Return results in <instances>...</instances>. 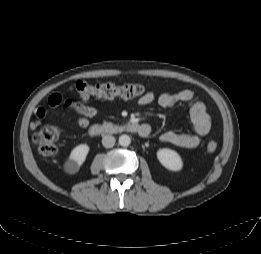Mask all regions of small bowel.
I'll return each mask as SVG.
<instances>
[{"mask_svg": "<svg viewBox=\"0 0 261 254\" xmlns=\"http://www.w3.org/2000/svg\"><path fill=\"white\" fill-rule=\"evenodd\" d=\"M156 98L159 105L163 108H172L179 103H190L189 113L195 131L194 134L165 132L160 135V142L171 144L182 149H193L198 147L201 138L207 135L211 128L210 117L205 104L200 101H195L193 91L188 89H183L177 92L165 91L158 96H156L155 92L150 91L142 96L138 103L141 106L148 105ZM60 105L61 103L57 106L50 105V107L57 108ZM66 108L69 112L77 116L78 125L84 130L89 126V119L98 116V111L94 107L87 106L81 102L68 101L66 103ZM45 114L46 110L44 108H37L34 112V120L31 122L30 127L32 129L37 128L41 124V120L44 118ZM144 126L149 125L144 124ZM148 135L149 134L144 135L143 137Z\"/></svg>", "mask_w": 261, "mask_h": 254, "instance_id": "small-bowel-1", "label": "small bowel"}]
</instances>
